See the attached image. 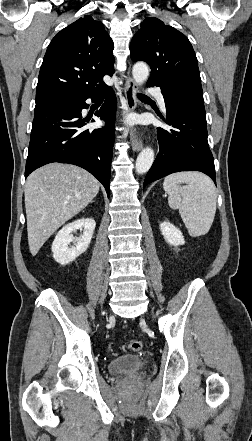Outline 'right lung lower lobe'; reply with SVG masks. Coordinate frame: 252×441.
I'll return each mask as SVG.
<instances>
[{
    "label": "right lung lower lobe",
    "mask_w": 252,
    "mask_h": 441,
    "mask_svg": "<svg viewBox=\"0 0 252 441\" xmlns=\"http://www.w3.org/2000/svg\"><path fill=\"white\" fill-rule=\"evenodd\" d=\"M106 97L95 113L106 122L104 129L83 130L81 111L85 101ZM116 98L110 87L99 91L68 92L36 103L25 177L52 162L80 166L94 175L110 195L111 159L115 139Z\"/></svg>",
    "instance_id": "98d812e1"
}]
</instances>
